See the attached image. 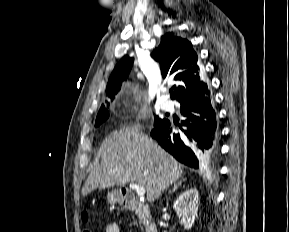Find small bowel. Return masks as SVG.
I'll list each match as a JSON object with an SVG mask.
<instances>
[{
	"mask_svg": "<svg viewBox=\"0 0 289 232\" xmlns=\"http://www.w3.org/2000/svg\"><path fill=\"white\" fill-rule=\"evenodd\" d=\"M105 232H119V227L115 223L109 224L106 227Z\"/></svg>",
	"mask_w": 289,
	"mask_h": 232,
	"instance_id": "c3829d8e",
	"label": "small bowel"
}]
</instances>
